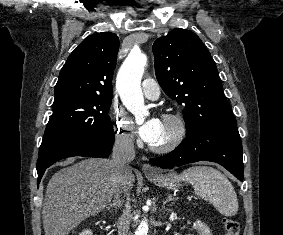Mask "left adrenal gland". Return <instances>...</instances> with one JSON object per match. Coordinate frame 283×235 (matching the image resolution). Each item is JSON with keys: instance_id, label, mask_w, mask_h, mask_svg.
Segmentation results:
<instances>
[{"instance_id": "a2214340", "label": "left adrenal gland", "mask_w": 283, "mask_h": 235, "mask_svg": "<svg viewBox=\"0 0 283 235\" xmlns=\"http://www.w3.org/2000/svg\"><path fill=\"white\" fill-rule=\"evenodd\" d=\"M174 199H175V198L172 196V194H168L166 200L163 202L162 209L165 208V204H166L167 202H170V201H172V200H174Z\"/></svg>"}]
</instances>
